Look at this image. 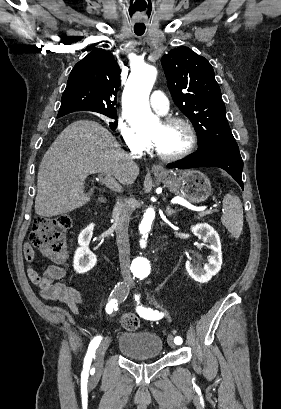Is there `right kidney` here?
I'll use <instances>...</instances> for the list:
<instances>
[{
  "label": "right kidney",
  "mask_w": 281,
  "mask_h": 409,
  "mask_svg": "<svg viewBox=\"0 0 281 409\" xmlns=\"http://www.w3.org/2000/svg\"><path fill=\"white\" fill-rule=\"evenodd\" d=\"M94 227V223H91V225H88L86 229L81 231L78 237V245H80V247L75 251L73 267L74 271H76V273H81V275L91 271L97 263L96 255L91 253L89 249V243L92 239Z\"/></svg>",
  "instance_id": "1"
}]
</instances>
